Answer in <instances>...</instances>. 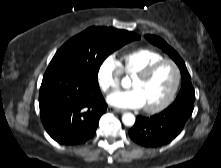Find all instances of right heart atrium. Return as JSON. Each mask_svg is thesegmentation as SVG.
Instances as JSON below:
<instances>
[{
    "label": "right heart atrium",
    "mask_w": 221,
    "mask_h": 168,
    "mask_svg": "<svg viewBox=\"0 0 221 168\" xmlns=\"http://www.w3.org/2000/svg\"><path fill=\"white\" fill-rule=\"evenodd\" d=\"M121 66L114 55H108L100 63L97 70V81L100 89L105 93L117 90L121 80Z\"/></svg>",
    "instance_id": "d8ad5b80"
}]
</instances>
